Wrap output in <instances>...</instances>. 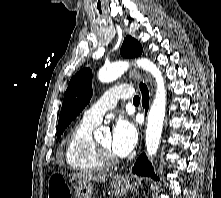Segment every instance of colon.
Masks as SVG:
<instances>
[{
    "instance_id": "5ec220e1",
    "label": "colon",
    "mask_w": 221,
    "mask_h": 198,
    "mask_svg": "<svg viewBox=\"0 0 221 198\" xmlns=\"http://www.w3.org/2000/svg\"><path fill=\"white\" fill-rule=\"evenodd\" d=\"M49 198H71V192L61 175H54L49 180Z\"/></svg>"
}]
</instances>
